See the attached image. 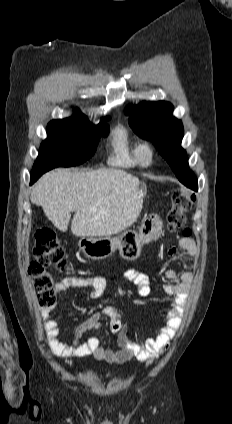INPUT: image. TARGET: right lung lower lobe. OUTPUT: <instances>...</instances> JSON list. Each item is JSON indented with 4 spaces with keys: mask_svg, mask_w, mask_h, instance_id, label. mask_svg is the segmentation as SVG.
<instances>
[{
    "mask_svg": "<svg viewBox=\"0 0 232 424\" xmlns=\"http://www.w3.org/2000/svg\"><path fill=\"white\" fill-rule=\"evenodd\" d=\"M39 177H31V184H33Z\"/></svg>",
    "mask_w": 232,
    "mask_h": 424,
    "instance_id": "right-lung-lower-lobe-1",
    "label": "right lung lower lobe"
}]
</instances>
